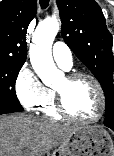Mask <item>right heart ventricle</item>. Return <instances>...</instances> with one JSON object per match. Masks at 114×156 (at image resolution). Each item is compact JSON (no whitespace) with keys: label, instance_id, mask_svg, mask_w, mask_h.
<instances>
[{"label":"right heart ventricle","instance_id":"1","mask_svg":"<svg viewBox=\"0 0 114 156\" xmlns=\"http://www.w3.org/2000/svg\"><path fill=\"white\" fill-rule=\"evenodd\" d=\"M48 91H49V97L47 101L38 110H40L45 116L54 119H61L62 116L59 114L56 108L55 91L51 89H48Z\"/></svg>","mask_w":114,"mask_h":156}]
</instances>
